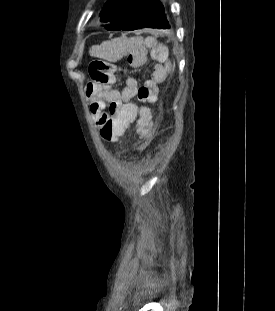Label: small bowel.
<instances>
[{"mask_svg":"<svg viewBox=\"0 0 275 311\" xmlns=\"http://www.w3.org/2000/svg\"><path fill=\"white\" fill-rule=\"evenodd\" d=\"M97 55L106 57H128L131 67H148L153 64L151 81L155 84L162 83L172 62V55L167 46L159 44L154 37L127 38L121 37L106 41L99 47ZM117 77L111 76L105 82H91L86 86V96L90 104L91 114L98 127H101V119L129 118L136 139L141 143H148L149 139L156 138L157 124L154 118H149L151 113L148 107L138 106L133 102L137 96V82L132 77L126 76L125 86L122 89L115 88ZM142 102V101H141ZM147 103V102H143ZM123 134L126 130H120Z\"/></svg>","mask_w":275,"mask_h":311,"instance_id":"c3829d8e","label":"small bowel"}]
</instances>
